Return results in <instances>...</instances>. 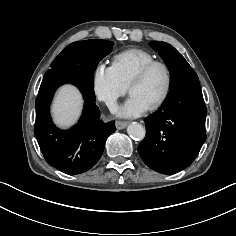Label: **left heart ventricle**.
I'll return each instance as SVG.
<instances>
[{"instance_id": "1", "label": "left heart ventricle", "mask_w": 236, "mask_h": 236, "mask_svg": "<svg viewBox=\"0 0 236 236\" xmlns=\"http://www.w3.org/2000/svg\"><path fill=\"white\" fill-rule=\"evenodd\" d=\"M165 86V71L163 68L157 66L150 71L142 82L131 88L130 94L138 96L150 107L161 97Z\"/></svg>"}]
</instances>
